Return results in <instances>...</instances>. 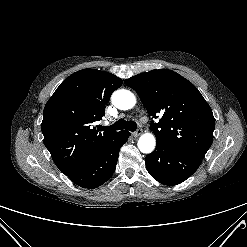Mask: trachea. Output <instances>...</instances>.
I'll use <instances>...</instances> for the list:
<instances>
[{"label":"trachea","mask_w":247,"mask_h":247,"mask_svg":"<svg viewBox=\"0 0 247 247\" xmlns=\"http://www.w3.org/2000/svg\"><path fill=\"white\" fill-rule=\"evenodd\" d=\"M125 128L129 131L134 132L137 129V124L134 121H126L124 119H120L111 126H101L100 127L102 131L122 130Z\"/></svg>","instance_id":"trachea-1"}]
</instances>
